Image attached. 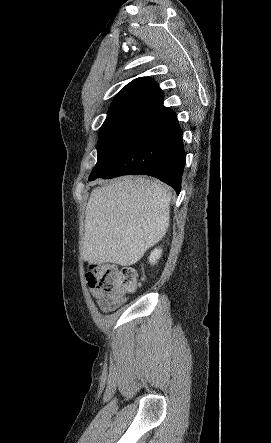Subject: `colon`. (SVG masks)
<instances>
[{"instance_id": "1", "label": "colon", "mask_w": 271, "mask_h": 443, "mask_svg": "<svg viewBox=\"0 0 271 443\" xmlns=\"http://www.w3.org/2000/svg\"><path fill=\"white\" fill-rule=\"evenodd\" d=\"M88 286L107 295L125 298L136 288L135 271L114 264L97 266L86 275Z\"/></svg>"}]
</instances>
